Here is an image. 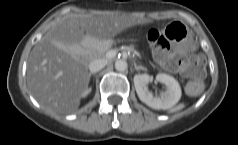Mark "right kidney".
Here are the masks:
<instances>
[{
	"label": "right kidney",
	"instance_id": "ca27d5eb",
	"mask_svg": "<svg viewBox=\"0 0 238 145\" xmlns=\"http://www.w3.org/2000/svg\"><path fill=\"white\" fill-rule=\"evenodd\" d=\"M90 92H91V88L86 89V90L82 93V97L87 96Z\"/></svg>",
	"mask_w": 238,
	"mask_h": 145
}]
</instances>
